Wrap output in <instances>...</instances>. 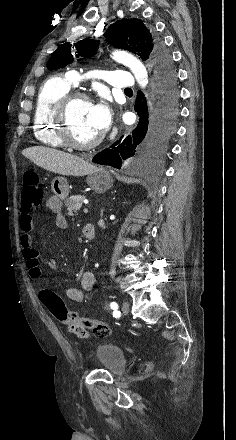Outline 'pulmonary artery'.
Segmentation results:
<instances>
[{
    "mask_svg": "<svg viewBox=\"0 0 236 440\" xmlns=\"http://www.w3.org/2000/svg\"><path fill=\"white\" fill-rule=\"evenodd\" d=\"M68 80L77 85L80 80V74L77 71H70L68 73ZM104 78L108 85L113 88L120 89H132L135 86V80L131 77V74L122 70H111L105 73Z\"/></svg>",
    "mask_w": 236,
    "mask_h": 440,
    "instance_id": "e3ab8cb5",
    "label": "pulmonary artery"
}]
</instances>
